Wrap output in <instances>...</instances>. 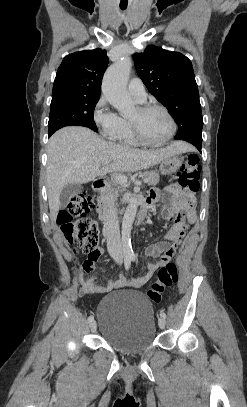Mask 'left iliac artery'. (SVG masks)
Segmentation results:
<instances>
[{
  "mask_svg": "<svg viewBox=\"0 0 247 407\" xmlns=\"http://www.w3.org/2000/svg\"><path fill=\"white\" fill-rule=\"evenodd\" d=\"M135 259H136V258H135V256H134V255H133V256H131V260L135 261ZM160 316H161L162 318H164V319H165V318H166V313H165V312H163V311H161V312H160Z\"/></svg>",
  "mask_w": 247,
  "mask_h": 407,
  "instance_id": "left-iliac-artery-1",
  "label": "left iliac artery"
}]
</instances>
